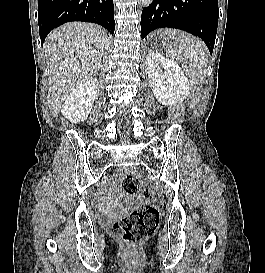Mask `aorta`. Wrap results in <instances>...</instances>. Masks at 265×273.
Returning a JSON list of instances; mask_svg holds the SVG:
<instances>
[{
    "mask_svg": "<svg viewBox=\"0 0 265 273\" xmlns=\"http://www.w3.org/2000/svg\"><path fill=\"white\" fill-rule=\"evenodd\" d=\"M152 1H153V0H140L141 5H142L143 7L149 6V5L152 3Z\"/></svg>",
    "mask_w": 265,
    "mask_h": 273,
    "instance_id": "762f6f07",
    "label": "aorta"
}]
</instances>
